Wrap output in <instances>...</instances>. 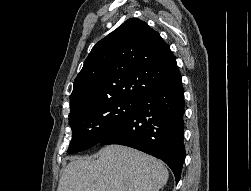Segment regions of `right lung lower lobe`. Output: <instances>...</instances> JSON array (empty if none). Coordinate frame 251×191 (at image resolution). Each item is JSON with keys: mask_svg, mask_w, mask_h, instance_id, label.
Instances as JSON below:
<instances>
[{"mask_svg": "<svg viewBox=\"0 0 251 191\" xmlns=\"http://www.w3.org/2000/svg\"><path fill=\"white\" fill-rule=\"evenodd\" d=\"M136 102L137 109L99 143L129 146L163 160L178 183L186 155L181 74Z\"/></svg>", "mask_w": 251, "mask_h": 191, "instance_id": "98d812e1", "label": "right lung lower lobe"}]
</instances>
